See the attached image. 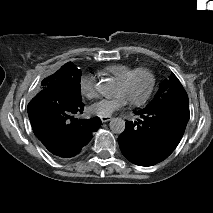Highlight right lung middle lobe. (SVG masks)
I'll return each mask as SVG.
<instances>
[{
	"instance_id": "dd1d6c3e",
	"label": "right lung middle lobe",
	"mask_w": 213,
	"mask_h": 213,
	"mask_svg": "<svg viewBox=\"0 0 213 213\" xmlns=\"http://www.w3.org/2000/svg\"><path fill=\"white\" fill-rule=\"evenodd\" d=\"M81 70L74 65L65 64L56 73L45 78L42 85L66 91L68 94L81 99L80 77Z\"/></svg>"
}]
</instances>
